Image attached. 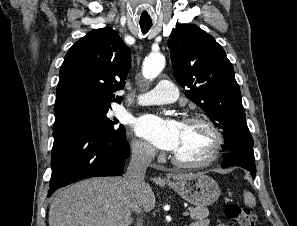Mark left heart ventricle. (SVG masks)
Instances as JSON below:
<instances>
[{
    "label": "left heart ventricle",
    "mask_w": 297,
    "mask_h": 226,
    "mask_svg": "<svg viewBox=\"0 0 297 226\" xmlns=\"http://www.w3.org/2000/svg\"><path fill=\"white\" fill-rule=\"evenodd\" d=\"M213 143L214 136L204 124L182 123L179 142L173 154L183 161H199L208 155Z\"/></svg>",
    "instance_id": "obj_1"
}]
</instances>
